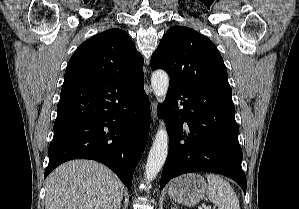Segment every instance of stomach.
<instances>
[{
	"instance_id": "stomach-1",
	"label": "stomach",
	"mask_w": 299,
	"mask_h": 209,
	"mask_svg": "<svg viewBox=\"0 0 299 209\" xmlns=\"http://www.w3.org/2000/svg\"><path fill=\"white\" fill-rule=\"evenodd\" d=\"M207 184L198 174H186L174 179L168 189V194L175 202L192 206L205 197Z\"/></svg>"
}]
</instances>
